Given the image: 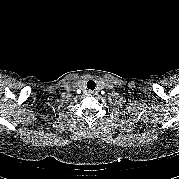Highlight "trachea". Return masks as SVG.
<instances>
[{
	"label": "trachea",
	"instance_id": "1",
	"mask_svg": "<svg viewBox=\"0 0 179 179\" xmlns=\"http://www.w3.org/2000/svg\"><path fill=\"white\" fill-rule=\"evenodd\" d=\"M95 87H96V83L93 81V80H89L88 82H87V88L88 89H90V90H94L95 89Z\"/></svg>",
	"mask_w": 179,
	"mask_h": 179
}]
</instances>
